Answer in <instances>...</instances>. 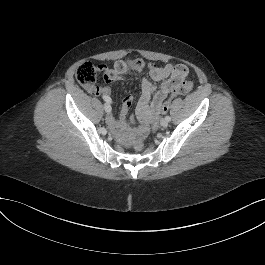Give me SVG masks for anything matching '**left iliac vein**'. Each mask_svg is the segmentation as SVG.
I'll return each mask as SVG.
<instances>
[{"mask_svg":"<svg viewBox=\"0 0 265 265\" xmlns=\"http://www.w3.org/2000/svg\"><path fill=\"white\" fill-rule=\"evenodd\" d=\"M160 124H161V126H163V127H167V125H168V121H167L165 118H162V119L160 120Z\"/></svg>","mask_w":265,"mask_h":265,"instance_id":"left-iliac-vein-1","label":"left iliac vein"}]
</instances>
